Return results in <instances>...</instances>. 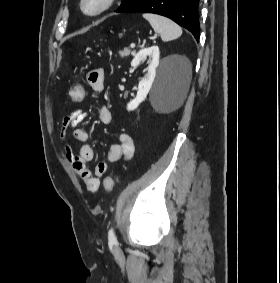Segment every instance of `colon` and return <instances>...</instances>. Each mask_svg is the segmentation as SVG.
<instances>
[{
    "label": "colon",
    "instance_id": "5ec220e1",
    "mask_svg": "<svg viewBox=\"0 0 280 283\" xmlns=\"http://www.w3.org/2000/svg\"><path fill=\"white\" fill-rule=\"evenodd\" d=\"M87 92H90V87H86V82L80 79L79 82L73 84V87L68 91L69 101L71 105H80V102H85ZM114 181L111 176H107L104 180V188L106 192H110L113 188Z\"/></svg>",
    "mask_w": 280,
    "mask_h": 283
}]
</instances>
